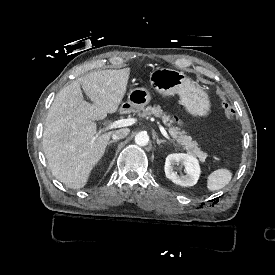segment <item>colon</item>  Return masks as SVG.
<instances>
[{"mask_svg":"<svg viewBox=\"0 0 275 275\" xmlns=\"http://www.w3.org/2000/svg\"><path fill=\"white\" fill-rule=\"evenodd\" d=\"M221 105H222V108L225 110L228 119L230 121H234L236 119V111L228 102V100L221 97Z\"/></svg>","mask_w":275,"mask_h":275,"instance_id":"1","label":"colon"}]
</instances>
